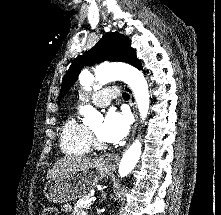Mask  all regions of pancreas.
I'll return each instance as SVG.
<instances>
[{
  "label": "pancreas",
  "instance_id": "cf45deb5",
  "mask_svg": "<svg viewBox=\"0 0 221 215\" xmlns=\"http://www.w3.org/2000/svg\"><path fill=\"white\" fill-rule=\"evenodd\" d=\"M90 197V194L83 196L80 200L76 202L74 205L75 209H88L93 202L92 201H87Z\"/></svg>",
  "mask_w": 221,
  "mask_h": 215
}]
</instances>
